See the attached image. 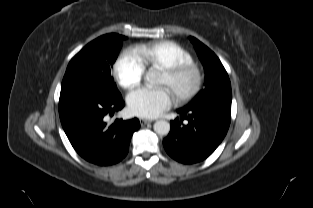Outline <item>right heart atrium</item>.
Returning <instances> with one entry per match:
<instances>
[{"mask_svg": "<svg viewBox=\"0 0 313 208\" xmlns=\"http://www.w3.org/2000/svg\"><path fill=\"white\" fill-rule=\"evenodd\" d=\"M145 72V66L134 50L122 53L114 65V74L120 84L125 89L137 86Z\"/></svg>", "mask_w": 313, "mask_h": 208, "instance_id": "right-heart-atrium-1", "label": "right heart atrium"}]
</instances>
